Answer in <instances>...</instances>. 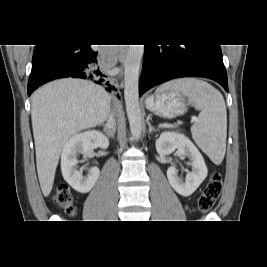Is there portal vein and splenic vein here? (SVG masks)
I'll list each match as a JSON object with an SVG mask.
<instances>
[{
	"label": "portal vein and splenic vein",
	"instance_id": "1",
	"mask_svg": "<svg viewBox=\"0 0 267 267\" xmlns=\"http://www.w3.org/2000/svg\"><path fill=\"white\" fill-rule=\"evenodd\" d=\"M192 120L193 121H197V118L196 117H192ZM159 127H162V128H171V127H174V126L173 125L163 124V125H160Z\"/></svg>",
	"mask_w": 267,
	"mask_h": 267
}]
</instances>
